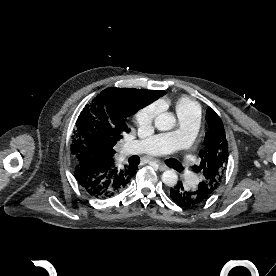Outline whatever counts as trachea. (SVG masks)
Instances as JSON below:
<instances>
[{
	"mask_svg": "<svg viewBox=\"0 0 276 276\" xmlns=\"http://www.w3.org/2000/svg\"><path fill=\"white\" fill-rule=\"evenodd\" d=\"M129 163L133 166H137L139 165L140 163V157L135 155V156H132L129 158ZM167 166L171 167V168H174L178 171H181L183 170V166L180 162H178L177 160L175 159H169L167 162H166Z\"/></svg>",
	"mask_w": 276,
	"mask_h": 276,
	"instance_id": "obj_1",
	"label": "trachea"
}]
</instances>
